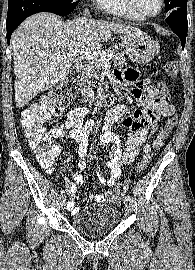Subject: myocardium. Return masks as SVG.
I'll list each match as a JSON object with an SVG mask.
<instances>
[{"label":"myocardium","instance_id":"f54148a6","mask_svg":"<svg viewBox=\"0 0 195 270\" xmlns=\"http://www.w3.org/2000/svg\"><path fill=\"white\" fill-rule=\"evenodd\" d=\"M127 7L133 12L136 16L141 18L142 20L151 19L157 17L164 9L165 1L160 0L159 9L153 14H141L135 7L133 0H125Z\"/></svg>","mask_w":195,"mask_h":270}]
</instances>
